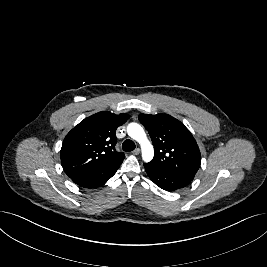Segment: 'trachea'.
Wrapping results in <instances>:
<instances>
[{
	"label": "trachea",
	"instance_id": "obj_1",
	"mask_svg": "<svg viewBox=\"0 0 267 267\" xmlns=\"http://www.w3.org/2000/svg\"><path fill=\"white\" fill-rule=\"evenodd\" d=\"M135 147H136L135 143L129 139L125 140L122 144V149L124 151H132L135 149Z\"/></svg>",
	"mask_w": 267,
	"mask_h": 267
}]
</instances>
